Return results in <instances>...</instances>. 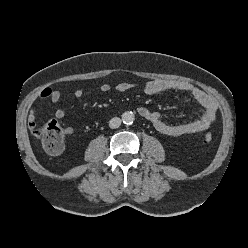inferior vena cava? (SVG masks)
<instances>
[{
    "mask_svg": "<svg viewBox=\"0 0 248 248\" xmlns=\"http://www.w3.org/2000/svg\"><path fill=\"white\" fill-rule=\"evenodd\" d=\"M121 125V119L114 117L109 121V127L112 129L118 128Z\"/></svg>",
    "mask_w": 248,
    "mask_h": 248,
    "instance_id": "obj_1",
    "label": "inferior vena cava"
}]
</instances>
